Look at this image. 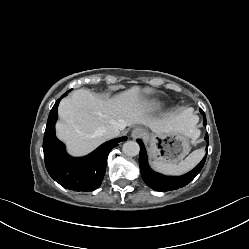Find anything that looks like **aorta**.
I'll list each match as a JSON object with an SVG mask.
<instances>
[{
	"instance_id": "obj_1",
	"label": "aorta",
	"mask_w": 249,
	"mask_h": 249,
	"mask_svg": "<svg viewBox=\"0 0 249 249\" xmlns=\"http://www.w3.org/2000/svg\"><path fill=\"white\" fill-rule=\"evenodd\" d=\"M122 151L127 156H136L139 154L140 147L137 142L127 141L123 144Z\"/></svg>"
}]
</instances>
